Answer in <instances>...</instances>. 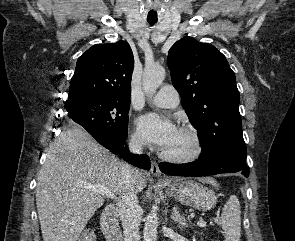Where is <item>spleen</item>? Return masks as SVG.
<instances>
[{"instance_id": "3e777b00", "label": "spleen", "mask_w": 295, "mask_h": 241, "mask_svg": "<svg viewBox=\"0 0 295 241\" xmlns=\"http://www.w3.org/2000/svg\"><path fill=\"white\" fill-rule=\"evenodd\" d=\"M221 225L224 231V241H240L241 210L237 196H230L221 213Z\"/></svg>"}]
</instances>
